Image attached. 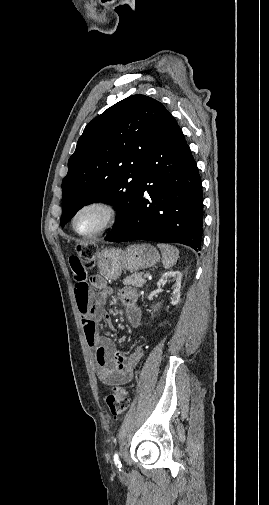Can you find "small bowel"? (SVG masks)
Instances as JSON below:
<instances>
[{
	"label": "small bowel",
	"mask_w": 269,
	"mask_h": 505,
	"mask_svg": "<svg viewBox=\"0 0 269 505\" xmlns=\"http://www.w3.org/2000/svg\"><path fill=\"white\" fill-rule=\"evenodd\" d=\"M68 267L74 274L77 306L81 314L87 345L94 353L96 373L99 380L106 385L127 384L133 377L135 366L142 358L144 349L139 347L127 356L116 350L115 344L110 338L99 334V322L101 320L104 319L111 325L109 315L103 310L105 295H90L86 281L87 271L82 268L80 259H70ZM92 281L98 288H104L105 286L104 280L98 275L94 276ZM119 298L127 308L129 323L137 326L141 314L136 306L135 291L131 288H123L119 292Z\"/></svg>",
	"instance_id": "1"
}]
</instances>
